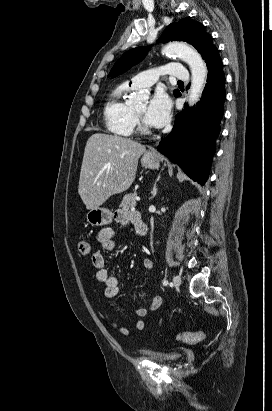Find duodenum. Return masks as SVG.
Instances as JSON below:
<instances>
[{
	"label": "duodenum",
	"instance_id": "duodenum-1",
	"mask_svg": "<svg viewBox=\"0 0 272 411\" xmlns=\"http://www.w3.org/2000/svg\"><path fill=\"white\" fill-rule=\"evenodd\" d=\"M134 227L136 233L140 237H146L148 234V227L147 225L140 219V217H135L134 218Z\"/></svg>",
	"mask_w": 272,
	"mask_h": 411
}]
</instances>
